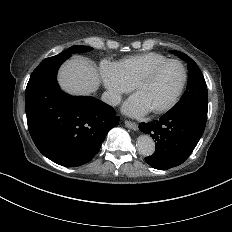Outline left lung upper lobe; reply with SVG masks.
Returning <instances> with one entry per match:
<instances>
[{
    "mask_svg": "<svg viewBox=\"0 0 232 232\" xmlns=\"http://www.w3.org/2000/svg\"><path fill=\"white\" fill-rule=\"evenodd\" d=\"M171 52L188 63V83L179 102L168 112L186 114L198 122L206 124L208 91L202 72L188 55L180 51Z\"/></svg>",
    "mask_w": 232,
    "mask_h": 232,
    "instance_id": "1",
    "label": "left lung upper lobe"
}]
</instances>
